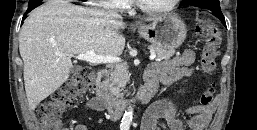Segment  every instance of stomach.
<instances>
[{
    "instance_id": "1",
    "label": "stomach",
    "mask_w": 257,
    "mask_h": 130,
    "mask_svg": "<svg viewBox=\"0 0 257 130\" xmlns=\"http://www.w3.org/2000/svg\"><path fill=\"white\" fill-rule=\"evenodd\" d=\"M139 33L155 46L175 49L185 40L187 29L181 18L175 14H168L148 25H141Z\"/></svg>"
}]
</instances>
